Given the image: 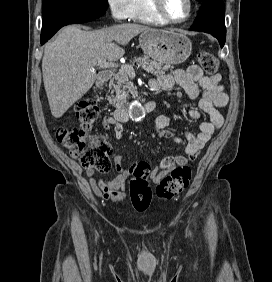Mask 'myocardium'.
<instances>
[{"mask_svg":"<svg viewBox=\"0 0 272 282\" xmlns=\"http://www.w3.org/2000/svg\"><path fill=\"white\" fill-rule=\"evenodd\" d=\"M151 1V8L165 21L169 23H183L188 20L193 11V2L192 0H186L187 2V14L182 19H175L172 18L165 10L163 5V0H150Z\"/></svg>","mask_w":272,"mask_h":282,"instance_id":"obj_1","label":"myocardium"}]
</instances>
